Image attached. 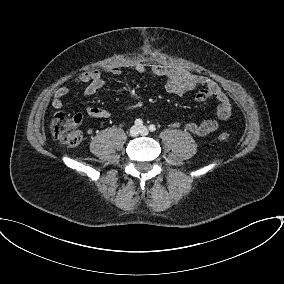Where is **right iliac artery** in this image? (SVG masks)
Instances as JSON below:
<instances>
[{
	"label": "right iliac artery",
	"mask_w": 284,
	"mask_h": 284,
	"mask_svg": "<svg viewBox=\"0 0 284 284\" xmlns=\"http://www.w3.org/2000/svg\"><path fill=\"white\" fill-rule=\"evenodd\" d=\"M143 124V121L141 119H136L135 120V125L136 126H141Z\"/></svg>",
	"instance_id": "82829eb1"
}]
</instances>
